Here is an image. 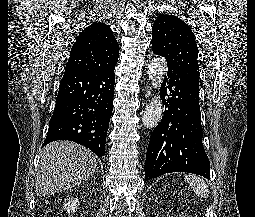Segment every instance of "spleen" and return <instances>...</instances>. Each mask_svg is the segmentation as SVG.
Instances as JSON below:
<instances>
[{"label": "spleen", "instance_id": "obj_1", "mask_svg": "<svg viewBox=\"0 0 255 217\" xmlns=\"http://www.w3.org/2000/svg\"><path fill=\"white\" fill-rule=\"evenodd\" d=\"M185 180L192 187L197 196L202 198L208 197L209 190L202 178L195 175H186Z\"/></svg>", "mask_w": 255, "mask_h": 217}]
</instances>
